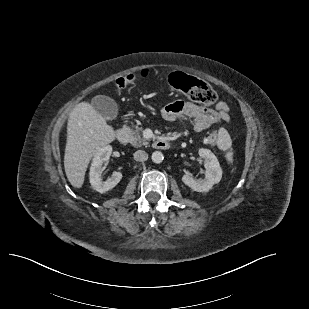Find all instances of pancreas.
I'll use <instances>...</instances> for the list:
<instances>
[{
	"mask_svg": "<svg viewBox=\"0 0 309 309\" xmlns=\"http://www.w3.org/2000/svg\"><path fill=\"white\" fill-rule=\"evenodd\" d=\"M132 145L134 147H141L148 144V139L142 137V128L135 126L134 129H132Z\"/></svg>",
	"mask_w": 309,
	"mask_h": 309,
	"instance_id": "obj_1",
	"label": "pancreas"
}]
</instances>
